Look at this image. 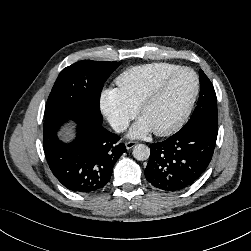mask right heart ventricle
I'll return each mask as SVG.
<instances>
[{
  "mask_svg": "<svg viewBox=\"0 0 251 251\" xmlns=\"http://www.w3.org/2000/svg\"><path fill=\"white\" fill-rule=\"evenodd\" d=\"M180 68L167 62H155L129 68L116 78L118 90L137 109L151 88L169 73Z\"/></svg>",
  "mask_w": 251,
  "mask_h": 251,
  "instance_id": "obj_1",
  "label": "right heart ventricle"
}]
</instances>
